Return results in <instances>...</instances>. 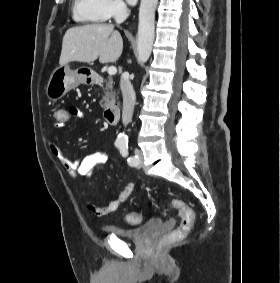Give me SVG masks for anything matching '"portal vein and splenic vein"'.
Instances as JSON below:
<instances>
[{"label": "portal vein and splenic vein", "mask_w": 280, "mask_h": 283, "mask_svg": "<svg viewBox=\"0 0 280 283\" xmlns=\"http://www.w3.org/2000/svg\"><path fill=\"white\" fill-rule=\"evenodd\" d=\"M107 71L109 75H115L117 73V69L114 66H110Z\"/></svg>", "instance_id": "1"}]
</instances>
